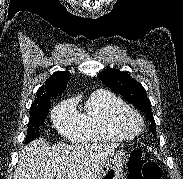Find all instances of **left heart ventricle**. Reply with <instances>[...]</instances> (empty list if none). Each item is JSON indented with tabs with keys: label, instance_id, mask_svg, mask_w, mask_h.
Wrapping results in <instances>:
<instances>
[{
	"label": "left heart ventricle",
	"instance_id": "b2bd125f",
	"mask_svg": "<svg viewBox=\"0 0 183 179\" xmlns=\"http://www.w3.org/2000/svg\"><path fill=\"white\" fill-rule=\"evenodd\" d=\"M130 125H131L133 128H135L137 124H136V122H135L134 120H131Z\"/></svg>",
	"mask_w": 183,
	"mask_h": 179
}]
</instances>
